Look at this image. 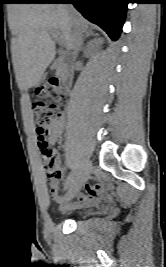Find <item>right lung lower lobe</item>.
<instances>
[{"mask_svg": "<svg viewBox=\"0 0 166 267\" xmlns=\"http://www.w3.org/2000/svg\"><path fill=\"white\" fill-rule=\"evenodd\" d=\"M20 3H72L82 15L118 39L124 23L127 0H23Z\"/></svg>", "mask_w": 166, "mask_h": 267, "instance_id": "right-lung-lower-lobe-1", "label": "right lung lower lobe"}]
</instances>
